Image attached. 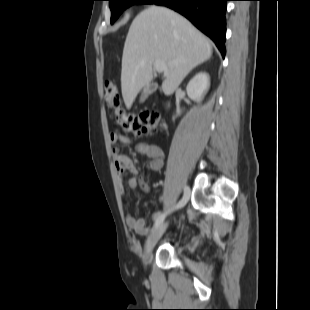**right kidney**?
Masks as SVG:
<instances>
[{
  "label": "right kidney",
  "instance_id": "obj_1",
  "mask_svg": "<svg viewBox=\"0 0 310 310\" xmlns=\"http://www.w3.org/2000/svg\"><path fill=\"white\" fill-rule=\"evenodd\" d=\"M209 76L205 72L197 73L186 87L187 95L194 101H200L209 88Z\"/></svg>",
  "mask_w": 310,
  "mask_h": 310
}]
</instances>
